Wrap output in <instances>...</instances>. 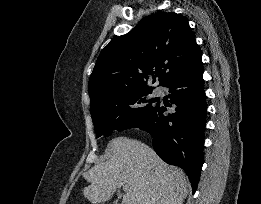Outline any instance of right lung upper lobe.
Listing matches in <instances>:
<instances>
[{
	"instance_id": "right-lung-upper-lobe-1",
	"label": "right lung upper lobe",
	"mask_w": 261,
	"mask_h": 204,
	"mask_svg": "<svg viewBox=\"0 0 261 204\" xmlns=\"http://www.w3.org/2000/svg\"><path fill=\"white\" fill-rule=\"evenodd\" d=\"M201 58L188 21L176 13L158 12L117 36L100 53L89 79L91 106L134 90H152L153 75L164 86ZM158 73V75H154Z\"/></svg>"
}]
</instances>
